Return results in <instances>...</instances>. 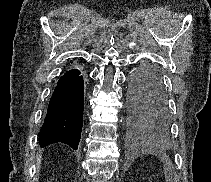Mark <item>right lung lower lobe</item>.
<instances>
[{"instance_id":"right-lung-lower-lobe-1","label":"right lung lower lobe","mask_w":211,"mask_h":182,"mask_svg":"<svg viewBox=\"0 0 211 182\" xmlns=\"http://www.w3.org/2000/svg\"><path fill=\"white\" fill-rule=\"evenodd\" d=\"M79 75L73 69L59 79L40 131L41 147L62 142L75 150L78 148L84 109V81Z\"/></svg>"}]
</instances>
